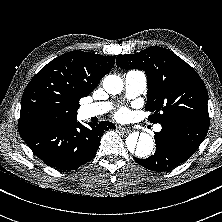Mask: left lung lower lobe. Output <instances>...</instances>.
I'll list each match as a JSON object with an SVG mask.
<instances>
[{"label":"left lung lower lobe","mask_w":222,"mask_h":222,"mask_svg":"<svg viewBox=\"0 0 222 222\" xmlns=\"http://www.w3.org/2000/svg\"><path fill=\"white\" fill-rule=\"evenodd\" d=\"M162 130L155 133L156 151L146 158L134 160L143 167L165 172L185 162L205 139L209 121L197 118H172L162 123Z\"/></svg>","instance_id":"left-lung-lower-lobe-1"}]
</instances>
